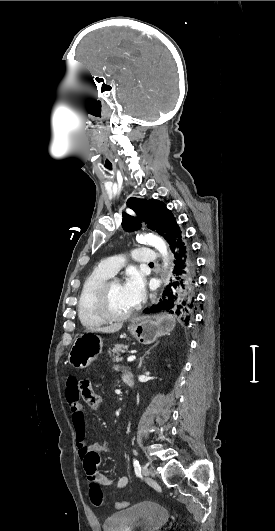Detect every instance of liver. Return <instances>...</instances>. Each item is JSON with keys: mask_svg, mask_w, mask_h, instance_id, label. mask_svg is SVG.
I'll return each mask as SVG.
<instances>
[{"mask_svg": "<svg viewBox=\"0 0 275 531\" xmlns=\"http://www.w3.org/2000/svg\"><path fill=\"white\" fill-rule=\"evenodd\" d=\"M122 327L123 323H114V325H110V327H97V329H92V331L93 333L94 331H97V333H117Z\"/></svg>", "mask_w": 275, "mask_h": 531, "instance_id": "1", "label": "liver"}]
</instances>
